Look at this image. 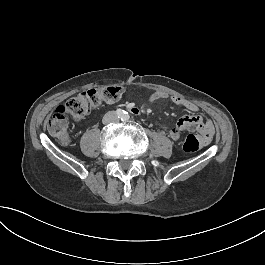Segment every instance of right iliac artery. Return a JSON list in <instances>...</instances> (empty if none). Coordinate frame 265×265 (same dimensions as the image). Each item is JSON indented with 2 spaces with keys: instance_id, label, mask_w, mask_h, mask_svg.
Masks as SVG:
<instances>
[{
  "instance_id": "right-iliac-artery-1",
  "label": "right iliac artery",
  "mask_w": 265,
  "mask_h": 265,
  "mask_svg": "<svg viewBox=\"0 0 265 265\" xmlns=\"http://www.w3.org/2000/svg\"><path fill=\"white\" fill-rule=\"evenodd\" d=\"M125 111L124 110H122V109H117L116 110V114H117V116L120 118H122L124 115H125Z\"/></svg>"
}]
</instances>
